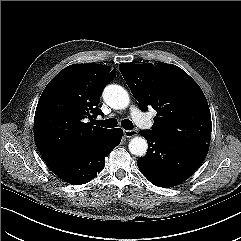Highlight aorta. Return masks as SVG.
I'll return each mask as SVG.
<instances>
[{"label": "aorta", "mask_w": 241, "mask_h": 241, "mask_svg": "<svg viewBox=\"0 0 241 241\" xmlns=\"http://www.w3.org/2000/svg\"><path fill=\"white\" fill-rule=\"evenodd\" d=\"M103 99L113 109H125L129 105V94L120 85L111 84L105 87ZM129 151L136 156H144L147 152L148 144L143 137H134L129 142Z\"/></svg>", "instance_id": "762f6f07"}]
</instances>
